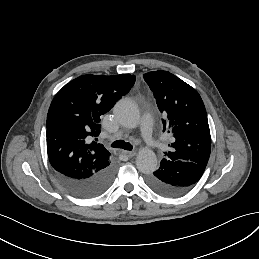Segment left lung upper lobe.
<instances>
[{
	"mask_svg": "<svg viewBox=\"0 0 259 259\" xmlns=\"http://www.w3.org/2000/svg\"><path fill=\"white\" fill-rule=\"evenodd\" d=\"M144 80L164 114L163 132L168 131L175 138L168 145L172 149L165 152L166 158L206 167L211 152V136L206 109L198 92L168 71L146 73Z\"/></svg>",
	"mask_w": 259,
	"mask_h": 259,
	"instance_id": "obj_1",
	"label": "left lung upper lobe"
}]
</instances>
